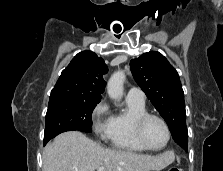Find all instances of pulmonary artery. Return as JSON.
Returning <instances> with one entry per match:
<instances>
[{
  "mask_svg": "<svg viewBox=\"0 0 223 171\" xmlns=\"http://www.w3.org/2000/svg\"><path fill=\"white\" fill-rule=\"evenodd\" d=\"M126 98L137 102H145L144 92L137 87H131L127 92Z\"/></svg>",
  "mask_w": 223,
  "mask_h": 171,
  "instance_id": "e3ab8cb5",
  "label": "pulmonary artery"
}]
</instances>
